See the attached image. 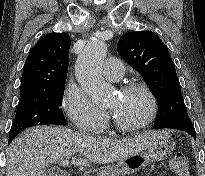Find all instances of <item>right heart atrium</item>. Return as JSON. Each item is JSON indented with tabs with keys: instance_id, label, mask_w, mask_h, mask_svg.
Masks as SVG:
<instances>
[{
	"instance_id": "obj_1",
	"label": "right heart atrium",
	"mask_w": 205,
	"mask_h": 176,
	"mask_svg": "<svg viewBox=\"0 0 205 176\" xmlns=\"http://www.w3.org/2000/svg\"><path fill=\"white\" fill-rule=\"evenodd\" d=\"M63 108L70 121L80 130L92 132L103 125L106 113L99 109L90 98L76 85L70 84L62 100Z\"/></svg>"
}]
</instances>
